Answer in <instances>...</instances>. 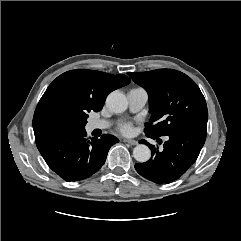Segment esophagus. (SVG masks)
<instances>
[{
	"label": "esophagus",
	"mask_w": 241,
	"mask_h": 241,
	"mask_svg": "<svg viewBox=\"0 0 241 241\" xmlns=\"http://www.w3.org/2000/svg\"><path fill=\"white\" fill-rule=\"evenodd\" d=\"M124 142L130 144V145H137V141L136 140H132V139H125Z\"/></svg>",
	"instance_id": "34e87169"
}]
</instances>
